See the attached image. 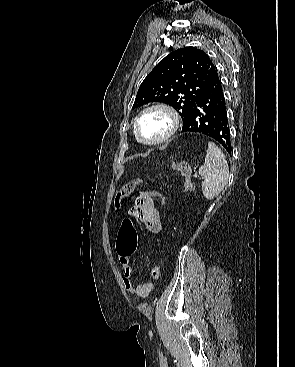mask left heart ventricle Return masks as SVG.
I'll list each match as a JSON object with an SVG mask.
<instances>
[{
  "instance_id": "b2bd125f",
  "label": "left heart ventricle",
  "mask_w": 295,
  "mask_h": 367,
  "mask_svg": "<svg viewBox=\"0 0 295 367\" xmlns=\"http://www.w3.org/2000/svg\"><path fill=\"white\" fill-rule=\"evenodd\" d=\"M170 128L168 116L161 111H152L143 116L139 123V132L146 140H155L167 133Z\"/></svg>"
}]
</instances>
